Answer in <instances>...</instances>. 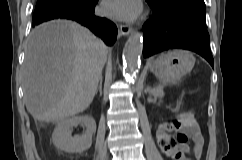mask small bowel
I'll list each match as a JSON object with an SVG mask.
<instances>
[{"instance_id": "small-bowel-1", "label": "small bowel", "mask_w": 242, "mask_h": 160, "mask_svg": "<svg viewBox=\"0 0 242 160\" xmlns=\"http://www.w3.org/2000/svg\"><path fill=\"white\" fill-rule=\"evenodd\" d=\"M174 130V134L169 131ZM162 151L172 160H192L200 156L204 140L199 126L191 113L179 115L173 123H167L157 133Z\"/></svg>"}]
</instances>
